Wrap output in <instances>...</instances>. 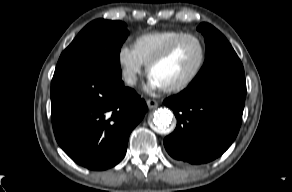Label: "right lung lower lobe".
Listing matches in <instances>:
<instances>
[{"label":"right lung lower lobe","mask_w":292,"mask_h":192,"mask_svg":"<svg viewBox=\"0 0 292 192\" xmlns=\"http://www.w3.org/2000/svg\"><path fill=\"white\" fill-rule=\"evenodd\" d=\"M56 140L76 163L105 170L125 156L131 131L148 108L121 77L85 65H57L51 82Z\"/></svg>","instance_id":"1"}]
</instances>
